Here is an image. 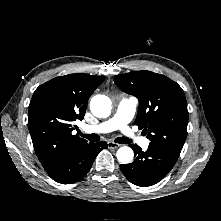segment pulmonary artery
I'll return each mask as SVG.
<instances>
[{
	"label": "pulmonary artery",
	"instance_id": "pulmonary-artery-1",
	"mask_svg": "<svg viewBox=\"0 0 221 221\" xmlns=\"http://www.w3.org/2000/svg\"><path fill=\"white\" fill-rule=\"evenodd\" d=\"M138 101L134 97H122L117 104L114 115L93 127L86 126L84 131L87 133H109L115 130H120L131 141H136L143 147H147L149 141L147 139L138 138L137 135L129 128V123L133 119Z\"/></svg>",
	"mask_w": 221,
	"mask_h": 221
}]
</instances>
